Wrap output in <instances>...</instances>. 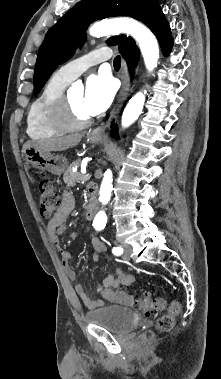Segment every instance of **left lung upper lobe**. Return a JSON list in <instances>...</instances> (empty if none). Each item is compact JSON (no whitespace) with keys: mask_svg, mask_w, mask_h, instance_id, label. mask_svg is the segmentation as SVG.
Returning a JSON list of instances; mask_svg holds the SVG:
<instances>
[{"mask_svg":"<svg viewBox=\"0 0 221 379\" xmlns=\"http://www.w3.org/2000/svg\"><path fill=\"white\" fill-rule=\"evenodd\" d=\"M157 0H81L47 32L39 49L34 73L35 95L50 75L82 46L85 30L93 21L113 16H130L142 21ZM126 36L111 37L109 45L119 44Z\"/></svg>","mask_w":221,"mask_h":379,"instance_id":"1","label":"left lung upper lobe"}]
</instances>
